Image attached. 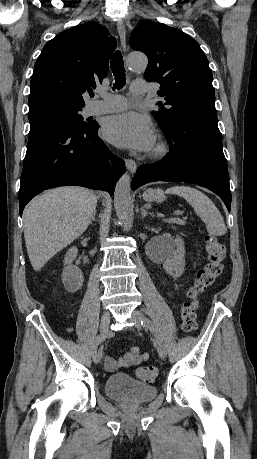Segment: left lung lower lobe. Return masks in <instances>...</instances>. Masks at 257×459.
I'll list each match as a JSON object with an SVG mask.
<instances>
[{
  "label": "left lung lower lobe",
  "instance_id": "1",
  "mask_svg": "<svg viewBox=\"0 0 257 459\" xmlns=\"http://www.w3.org/2000/svg\"><path fill=\"white\" fill-rule=\"evenodd\" d=\"M170 145L168 156L138 168L133 190L154 181L187 182L206 187L231 207L227 161L214 112L191 113L162 129Z\"/></svg>",
  "mask_w": 257,
  "mask_h": 459
}]
</instances>
